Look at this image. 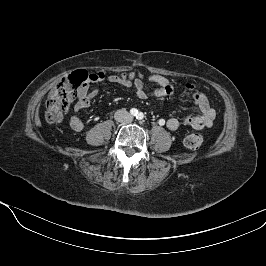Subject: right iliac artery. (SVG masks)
Here are the masks:
<instances>
[{"label":"right iliac artery","instance_id":"right-iliac-artery-1","mask_svg":"<svg viewBox=\"0 0 266 266\" xmlns=\"http://www.w3.org/2000/svg\"><path fill=\"white\" fill-rule=\"evenodd\" d=\"M130 114H131L132 116H137V115H138V110L135 109V108H132V109L130 110Z\"/></svg>","mask_w":266,"mask_h":266}]
</instances>
